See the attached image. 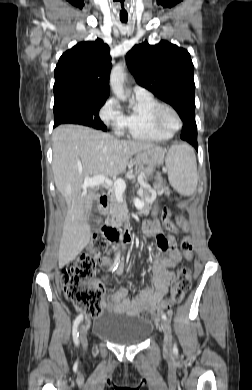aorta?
Returning <instances> with one entry per match:
<instances>
[{"instance_id": "1", "label": "aorta", "mask_w": 252, "mask_h": 390, "mask_svg": "<svg viewBox=\"0 0 252 390\" xmlns=\"http://www.w3.org/2000/svg\"><path fill=\"white\" fill-rule=\"evenodd\" d=\"M124 82H125L124 66L122 64H117L111 70L110 87L113 93L115 94V96L122 101L126 100V96L124 94Z\"/></svg>"}]
</instances>
